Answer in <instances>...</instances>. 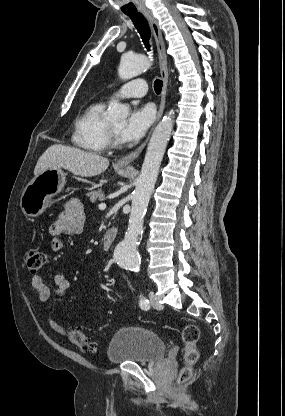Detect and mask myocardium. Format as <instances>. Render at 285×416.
<instances>
[{"label":"myocardium","instance_id":"obj_1","mask_svg":"<svg viewBox=\"0 0 285 416\" xmlns=\"http://www.w3.org/2000/svg\"><path fill=\"white\" fill-rule=\"evenodd\" d=\"M107 130V137H108V145L111 148H118L120 147V140L117 136V134L113 131V129L110 127V125L107 123L106 126Z\"/></svg>","mask_w":285,"mask_h":416}]
</instances>
